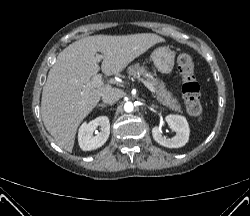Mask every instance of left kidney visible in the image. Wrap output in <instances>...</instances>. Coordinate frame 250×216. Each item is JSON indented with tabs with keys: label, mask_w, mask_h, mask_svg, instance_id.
<instances>
[{
	"label": "left kidney",
	"mask_w": 250,
	"mask_h": 216,
	"mask_svg": "<svg viewBox=\"0 0 250 216\" xmlns=\"http://www.w3.org/2000/svg\"><path fill=\"white\" fill-rule=\"evenodd\" d=\"M165 121L169 127L176 132L173 138H166L162 135L161 129L158 126L152 128V135L154 140L160 145L168 148H179L184 146L189 140L190 129L188 122L184 116L181 115H167Z\"/></svg>",
	"instance_id": "obj_1"
}]
</instances>
